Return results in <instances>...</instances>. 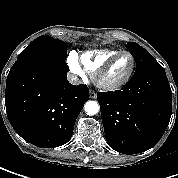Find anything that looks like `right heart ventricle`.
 <instances>
[{"mask_svg":"<svg viewBox=\"0 0 178 178\" xmlns=\"http://www.w3.org/2000/svg\"><path fill=\"white\" fill-rule=\"evenodd\" d=\"M115 49H99L84 52L80 55L81 65L91 73L97 71L109 58L118 53Z\"/></svg>","mask_w":178,"mask_h":178,"instance_id":"1","label":"right heart ventricle"}]
</instances>
